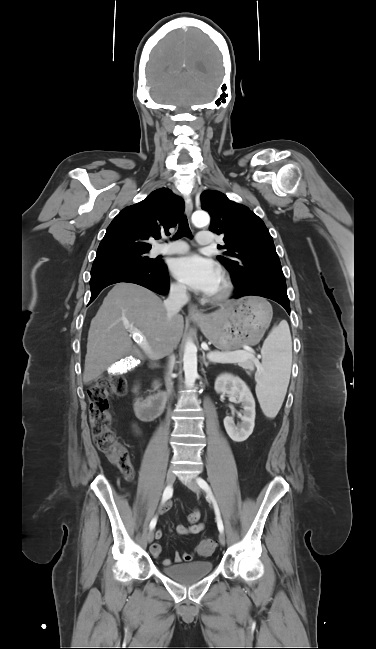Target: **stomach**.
<instances>
[{
	"label": "stomach",
	"mask_w": 376,
	"mask_h": 649,
	"mask_svg": "<svg viewBox=\"0 0 376 649\" xmlns=\"http://www.w3.org/2000/svg\"><path fill=\"white\" fill-rule=\"evenodd\" d=\"M272 318V307L257 297L232 300L219 310L194 320L205 337L222 351L255 345Z\"/></svg>",
	"instance_id": "obj_1"
}]
</instances>
